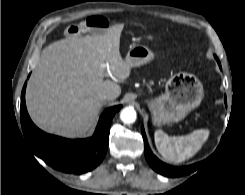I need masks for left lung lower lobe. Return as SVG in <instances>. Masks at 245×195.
Segmentation results:
<instances>
[{"instance_id":"left-lung-lower-lobe-1","label":"left lung lower lobe","mask_w":245,"mask_h":195,"mask_svg":"<svg viewBox=\"0 0 245 195\" xmlns=\"http://www.w3.org/2000/svg\"><path fill=\"white\" fill-rule=\"evenodd\" d=\"M218 64L221 68L220 62H218ZM141 130H142V136L144 139L145 157H146L149 165L156 172H158L164 176H167V177H180V176L192 173L197 169L198 164H193V165H189V166H185V167H174V166L165 164L162 161H160L155 155H153V153H152V151L148 145L143 126H142Z\"/></svg>"}]
</instances>
